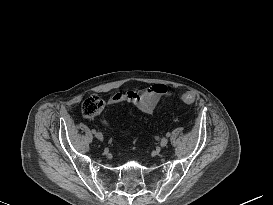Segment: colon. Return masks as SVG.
Wrapping results in <instances>:
<instances>
[{"instance_id":"obj_1","label":"colon","mask_w":273,"mask_h":205,"mask_svg":"<svg viewBox=\"0 0 273 205\" xmlns=\"http://www.w3.org/2000/svg\"><path fill=\"white\" fill-rule=\"evenodd\" d=\"M180 99L187 104L195 100V96L190 92L180 94ZM103 102L97 95H90L82 103V113L86 118H95L101 114Z\"/></svg>"}]
</instances>
